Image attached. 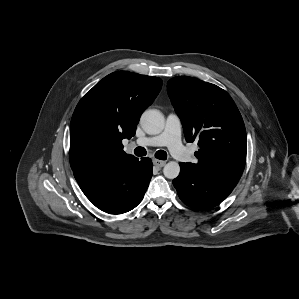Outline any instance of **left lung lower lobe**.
Instances as JSON below:
<instances>
[{
  "mask_svg": "<svg viewBox=\"0 0 299 299\" xmlns=\"http://www.w3.org/2000/svg\"><path fill=\"white\" fill-rule=\"evenodd\" d=\"M173 185L183 203L197 210L218 205L234 189L227 184L192 172L184 163H180V174L173 180Z\"/></svg>",
  "mask_w": 299,
  "mask_h": 299,
  "instance_id": "1",
  "label": "left lung lower lobe"
}]
</instances>
